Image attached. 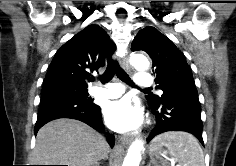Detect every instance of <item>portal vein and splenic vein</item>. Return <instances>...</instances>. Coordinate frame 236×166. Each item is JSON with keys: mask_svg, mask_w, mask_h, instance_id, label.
I'll return each mask as SVG.
<instances>
[{"mask_svg": "<svg viewBox=\"0 0 236 166\" xmlns=\"http://www.w3.org/2000/svg\"><path fill=\"white\" fill-rule=\"evenodd\" d=\"M172 164H175V161H174V160H172Z\"/></svg>", "mask_w": 236, "mask_h": 166, "instance_id": "18ae733b", "label": "portal vein and splenic vein"}]
</instances>
